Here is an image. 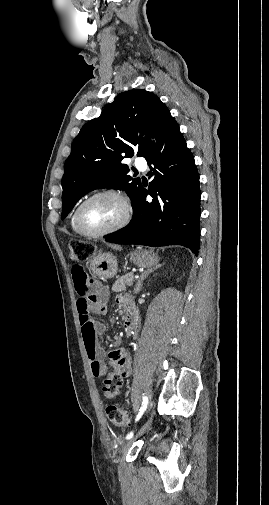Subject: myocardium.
<instances>
[{"label":"myocardium","mask_w":269,"mask_h":505,"mask_svg":"<svg viewBox=\"0 0 269 505\" xmlns=\"http://www.w3.org/2000/svg\"><path fill=\"white\" fill-rule=\"evenodd\" d=\"M103 196H112V197H115L121 201V203L123 204V207H124L123 217L121 218V220L118 223H116L112 227L107 228L105 230H101V231L90 230L82 222V219H81L82 211H83L84 207L89 202L93 201L96 198L103 197ZM131 215H132V207H131L130 201L127 198V196L125 194H123L122 192L115 190V189H105V190H100L98 192L93 193L92 195H90L89 197H87L85 200H83L80 203V205L77 207L76 212H75V224L83 235H86L88 237H102V236H106V235L115 233V232L123 229L129 223V221L131 219Z\"/></svg>","instance_id":"myocardium-1"}]
</instances>
